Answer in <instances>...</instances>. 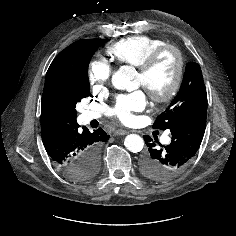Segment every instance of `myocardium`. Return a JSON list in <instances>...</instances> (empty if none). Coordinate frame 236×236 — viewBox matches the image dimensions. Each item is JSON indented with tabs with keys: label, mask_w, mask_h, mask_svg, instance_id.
Listing matches in <instances>:
<instances>
[{
	"label": "myocardium",
	"mask_w": 236,
	"mask_h": 236,
	"mask_svg": "<svg viewBox=\"0 0 236 236\" xmlns=\"http://www.w3.org/2000/svg\"><path fill=\"white\" fill-rule=\"evenodd\" d=\"M167 52L173 53L176 57V71L170 87L164 92H156L147 85L143 86L148 91L151 98L157 103H167L171 101L181 86L185 70V59L182 51L174 45L165 44L149 54L145 61L138 67L139 74L144 78L148 77L156 67L160 58Z\"/></svg>",
	"instance_id": "obj_1"
}]
</instances>
